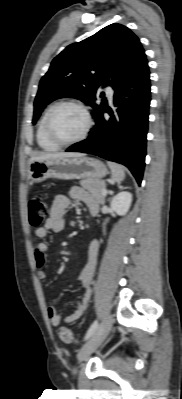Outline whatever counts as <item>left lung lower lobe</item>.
I'll use <instances>...</instances> for the list:
<instances>
[{
  "label": "left lung lower lobe",
  "mask_w": 182,
  "mask_h": 399,
  "mask_svg": "<svg viewBox=\"0 0 182 399\" xmlns=\"http://www.w3.org/2000/svg\"><path fill=\"white\" fill-rule=\"evenodd\" d=\"M147 61L143 63L114 94L115 112L106 106L94 119L90 136L66 151L94 154L125 165L140 185L146 156V137L150 105V79Z\"/></svg>",
  "instance_id": "1"
}]
</instances>
